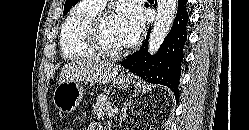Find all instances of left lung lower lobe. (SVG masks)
Segmentation results:
<instances>
[{
	"label": "left lung lower lobe",
	"mask_w": 249,
	"mask_h": 130,
	"mask_svg": "<svg viewBox=\"0 0 249 130\" xmlns=\"http://www.w3.org/2000/svg\"><path fill=\"white\" fill-rule=\"evenodd\" d=\"M186 3L187 0H178L173 26L155 55L150 56L147 52L149 29L140 50L121 62L123 67L145 81L168 86L176 95L177 103L179 101L178 85L181 63L184 57L183 49L187 38L186 27L189 21Z\"/></svg>",
	"instance_id": "obj_1"
}]
</instances>
